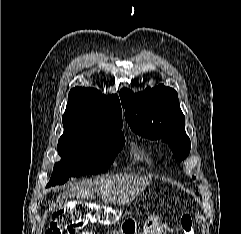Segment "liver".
<instances>
[{
  "mask_svg": "<svg viewBox=\"0 0 241 234\" xmlns=\"http://www.w3.org/2000/svg\"><path fill=\"white\" fill-rule=\"evenodd\" d=\"M150 177L132 174H119L108 178L87 180L71 185L59 195L49 209L55 211L65 206L67 199H95V193H100L107 203L127 204L142 193L151 183Z\"/></svg>",
  "mask_w": 241,
  "mask_h": 234,
  "instance_id": "1",
  "label": "liver"
}]
</instances>
